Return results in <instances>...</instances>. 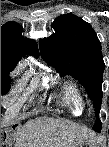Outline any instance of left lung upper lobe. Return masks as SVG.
Returning <instances> with one entry per match:
<instances>
[{"instance_id":"obj_1","label":"left lung upper lobe","mask_w":109,"mask_h":147,"mask_svg":"<svg viewBox=\"0 0 109 147\" xmlns=\"http://www.w3.org/2000/svg\"><path fill=\"white\" fill-rule=\"evenodd\" d=\"M55 34L41 42L45 61L64 75H72L94 100L97 120L93 129L101 130L99 111L102 76L105 69L101 43L91 25L73 14H64L52 24Z\"/></svg>"}]
</instances>
